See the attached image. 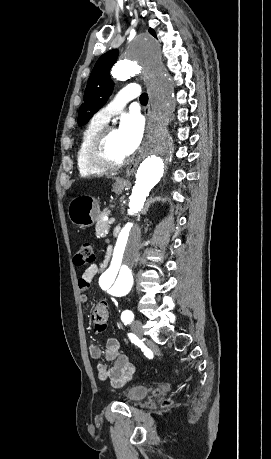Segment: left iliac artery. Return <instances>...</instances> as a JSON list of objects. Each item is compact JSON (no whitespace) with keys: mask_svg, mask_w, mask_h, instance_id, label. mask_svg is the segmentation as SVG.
<instances>
[{"mask_svg":"<svg viewBox=\"0 0 271 459\" xmlns=\"http://www.w3.org/2000/svg\"><path fill=\"white\" fill-rule=\"evenodd\" d=\"M134 319V314L130 310H125L121 314V320L125 325L130 324Z\"/></svg>","mask_w":271,"mask_h":459,"instance_id":"1","label":"left iliac artery"}]
</instances>
